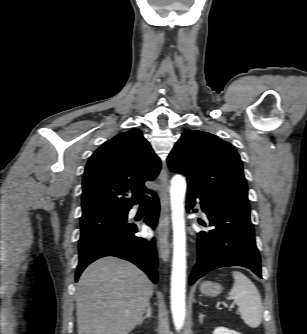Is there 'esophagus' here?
Segmentation results:
<instances>
[{"label":"esophagus","mask_w":307,"mask_h":334,"mask_svg":"<svg viewBox=\"0 0 307 334\" xmlns=\"http://www.w3.org/2000/svg\"><path fill=\"white\" fill-rule=\"evenodd\" d=\"M160 203H161V212L159 219V227L162 229L159 236V255L163 261L167 262L171 253V242L169 239L170 232V205H169V181H168V172L166 168H163L160 172Z\"/></svg>","instance_id":"obj_1"}]
</instances>
